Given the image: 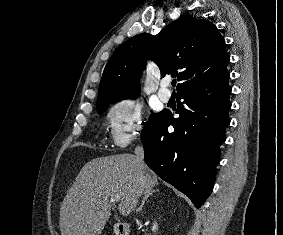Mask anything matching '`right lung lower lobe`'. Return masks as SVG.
<instances>
[{"label":"right lung lower lobe","instance_id":"obj_1","mask_svg":"<svg viewBox=\"0 0 283 235\" xmlns=\"http://www.w3.org/2000/svg\"><path fill=\"white\" fill-rule=\"evenodd\" d=\"M229 73L187 85L177 91L178 103L172 119L160 112L141 133L147 165L164 181L187 195L195 207L204 204L215 182L220 145L231 107ZM174 132H168V126Z\"/></svg>","mask_w":283,"mask_h":235}]
</instances>
